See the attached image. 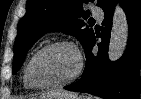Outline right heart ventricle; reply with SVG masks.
Returning a JSON list of instances; mask_svg holds the SVG:
<instances>
[{
	"mask_svg": "<svg viewBox=\"0 0 141 99\" xmlns=\"http://www.w3.org/2000/svg\"><path fill=\"white\" fill-rule=\"evenodd\" d=\"M23 82H24V86H25L27 89H30V90H36V89H37V88L33 87V86L28 82V79H27V76H26V70H25V72H24Z\"/></svg>",
	"mask_w": 141,
	"mask_h": 99,
	"instance_id": "e07e8e85",
	"label": "right heart ventricle"
}]
</instances>
